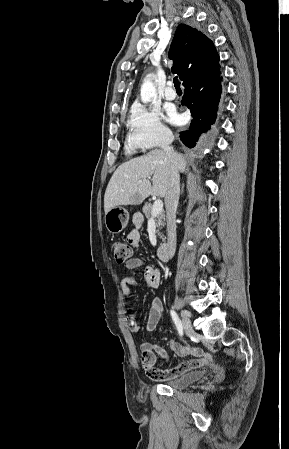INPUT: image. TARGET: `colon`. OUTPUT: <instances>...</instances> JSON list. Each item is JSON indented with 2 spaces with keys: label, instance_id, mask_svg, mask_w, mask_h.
Segmentation results:
<instances>
[{
  "label": "colon",
  "instance_id": "1",
  "mask_svg": "<svg viewBox=\"0 0 289 449\" xmlns=\"http://www.w3.org/2000/svg\"><path fill=\"white\" fill-rule=\"evenodd\" d=\"M112 250H113L114 259L118 263H126L132 257V250H131L130 245L127 242L116 241L113 244Z\"/></svg>",
  "mask_w": 289,
  "mask_h": 449
}]
</instances>
